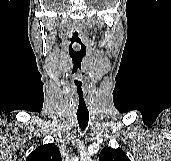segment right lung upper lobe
Listing matches in <instances>:
<instances>
[{"label":"right lung upper lobe","instance_id":"1","mask_svg":"<svg viewBox=\"0 0 171 161\" xmlns=\"http://www.w3.org/2000/svg\"><path fill=\"white\" fill-rule=\"evenodd\" d=\"M26 161H62L61 154L54 144H45L36 148Z\"/></svg>","mask_w":171,"mask_h":161}]
</instances>
